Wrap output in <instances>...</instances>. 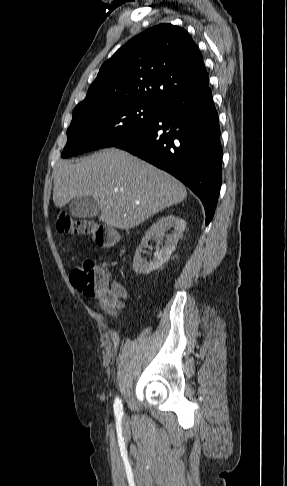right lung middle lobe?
<instances>
[{"label": "right lung middle lobe", "instance_id": "right-lung-middle-lobe-1", "mask_svg": "<svg viewBox=\"0 0 287 486\" xmlns=\"http://www.w3.org/2000/svg\"><path fill=\"white\" fill-rule=\"evenodd\" d=\"M149 100H115L73 112L62 157L112 147L137 136L159 114Z\"/></svg>", "mask_w": 287, "mask_h": 486}]
</instances>
